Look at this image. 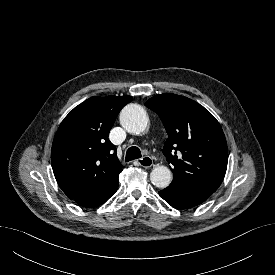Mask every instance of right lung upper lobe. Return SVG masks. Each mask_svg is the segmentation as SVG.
<instances>
[{
	"label": "right lung upper lobe",
	"instance_id": "1",
	"mask_svg": "<svg viewBox=\"0 0 275 275\" xmlns=\"http://www.w3.org/2000/svg\"><path fill=\"white\" fill-rule=\"evenodd\" d=\"M131 96H93L75 107L54 137L55 178L72 200L107 191L118 183L122 165L108 139L120 110Z\"/></svg>",
	"mask_w": 275,
	"mask_h": 275
}]
</instances>
